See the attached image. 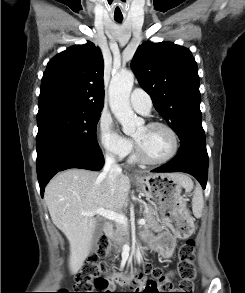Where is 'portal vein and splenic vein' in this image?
<instances>
[{"label": "portal vein and splenic vein", "mask_w": 245, "mask_h": 293, "mask_svg": "<svg viewBox=\"0 0 245 293\" xmlns=\"http://www.w3.org/2000/svg\"><path fill=\"white\" fill-rule=\"evenodd\" d=\"M81 214L85 215V216H94V215L98 214L104 218H107L109 220H113L118 224H122L125 226L128 225V220L123 214H118L113 211L105 210L104 208H98L96 210L89 211V212H82ZM145 223H146L145 219L138 220V224H140V225H144Z\"/></svg>", "instance_id": "1"}]
</instances>
